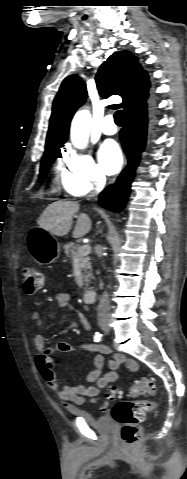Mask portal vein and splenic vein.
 Returning <instances> with one entry per match:
<instances>
[{"label":"portal vein and splenic vein","mask_w":187,"mask_h":479,"mask_svg":"<svg viewBox=\"0 0 187 479\" xmlns=\"http://www.w3.org/2000/svg\"><path fill=\"white\" fill-rule=\"evenodd\" d=\"M91 252V246L86 244V245H83L79 248V255L80 256H86L88 254H90Z\"/></svg>","instance_id":"obj_1"}]
</instances>
